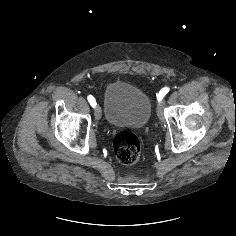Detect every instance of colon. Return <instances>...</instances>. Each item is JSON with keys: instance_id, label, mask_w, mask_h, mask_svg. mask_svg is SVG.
I'll return each mask as SVG.
<instances>
[{"instance_id": "colon-1", "label": "colon", "mask_w": 236, "mask_h": 236, "mask_svg": "<svg viewBox=\"0 0 236 236\" xmlns=\"http://www.w3.org/2000/svg\"><path fill=\"white\" fill-rule=\"evenodd\" d=\"M113 149L117 159L126 165L136 163L141 154V142L132 132H119L113 141Z\"/></svg>"}]
</instances>
